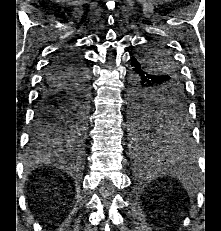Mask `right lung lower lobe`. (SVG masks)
Segmentation results:
<instances>
[{"label":"right lung lower lobe","instance_id":"1","mask_svg":"<svg viewBox=\"0 0 221 231\" xmlns=\"http://www.w3.org/2000/svg\"><path fill=\"white\" fill-rule=\"evenodd\" d=\"M90 73L83 58L72 51L58 54L47 69L42 89L38 97L35 121L31 134V144L34 150L54 149L63 142L64 132L53 140H46L38 135L47 129L50 116L47 110L53 105H61L66 99L82 95L89 100Z\"/></svg>","mask_w":221,"mask_h":231}]
</instances>
